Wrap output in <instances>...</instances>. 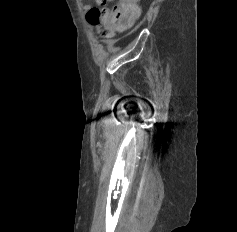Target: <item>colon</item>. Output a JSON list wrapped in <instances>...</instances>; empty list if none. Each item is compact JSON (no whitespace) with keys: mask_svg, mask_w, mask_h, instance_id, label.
<instances>
[{"mask_svg":"<svg viewBox=\"0 0 237 232\" xmlns=\"http://www.w3.org/2000/svg\"><path fill=\"white\" fill-rule=\"evenodd\" d=\"M138 1L119 0L112 8H92L87 14L88 21L95 26L99 36L110 39L135 24L139 16Z\"/></svg>","mask_w":237,"mask_h":232,"instance_id":"colon-1","label":"colon"}]
</instances>
